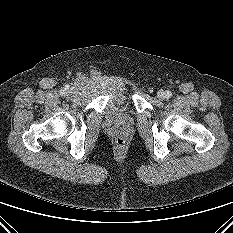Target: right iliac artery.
<instances>
[{"label": "right iliac artery", "instance_id": "82829eb1", "mask_svg": "<svg viewBox=\"0 0 233 233\" xmlns=\"http://www.w3.org/2000/svg\"><path fill=\"white\" fill-rule=\"evenodd\" d=\"M69 87L68 86H65V90L68 89ZM65 90H60V95H64L65 94Z\"/></svg>", "mask_w": 233, "mask_h": 233}]
</instances>
